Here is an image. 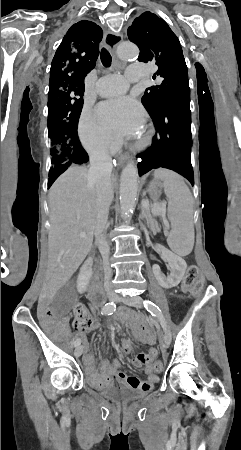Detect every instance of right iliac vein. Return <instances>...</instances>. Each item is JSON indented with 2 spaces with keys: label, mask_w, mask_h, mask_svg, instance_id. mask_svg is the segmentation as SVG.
<instances>
[{
  "label": "right iliac vein",
  "mask_w": 241,
  "mask_h": 450,
  "mask_svg": "<svg viewBox=\"0 0 241 450\" xmlns=\"http://www.w3.org/2000/svg\"><path fill=\"white\" fill-rule=\"evenodd\" d=\"M107 298L110 301H114L116 299V294L114 292H109V293H107ZM82 352H83V347L82 346H77L75 351H74V356L76 358H78L82 354Z\"/></svg>",
  "instance_id": "1"
}]
</instances>
